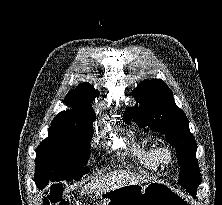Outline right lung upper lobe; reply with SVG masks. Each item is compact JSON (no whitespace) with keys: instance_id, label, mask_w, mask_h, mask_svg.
<instances>
[{"instance_id":"cb5924a9","label":"right lung upper lobe","mask_w":222,"mask_h":205,"mask_svg":"<svg viewBox=\"0 0 222 205\" xmlns=\"http://www.w3.org/2000/svg\"><path fill=\"white\" fill-rule=\"evenodd\" d=\"M99 95L89 83H80L65 97V104L72 109L59 113L52 123H86L95 120V114L91 107L92 100Z\"/></svg>"}]
</instances>
